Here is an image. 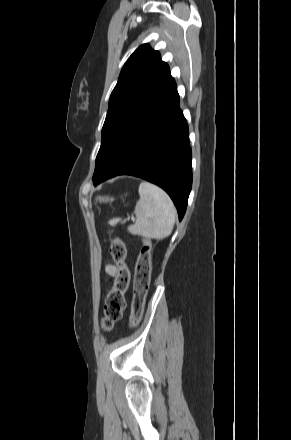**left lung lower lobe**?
<instances>
[{"mask_svg":"<svg viewBox=\"0 0 291 440\" xmlns=\"http://www.w3.org/2000/svg\"><path fill=\"white\" fill-rule=\"evenodd\" d=\"M117 175L140 177L160 186L173 200L179 219L183 218L192 186L191 148L174 79L125 130L93 183L96 186Z\"/></svg>","mask_w":291,"mask_h":440,"instance_id":"0a47b994","label":"left lung lower lobe"}]
</instances>
